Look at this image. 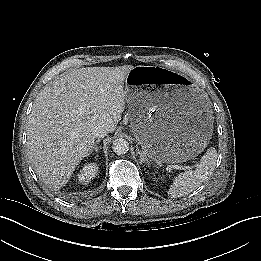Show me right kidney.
Returning <instances> with one entry per match:
<instances>
[{
  "label": "right kidney",
  "instance_id": "right-kidney-1",
  "mask_svg": "<svg viewBox=\"0 0 261 261\" xmlns=\"http://www.w3.org/2000/svg\"><path fill=\"white\" fill-rule=\"evenodd\" d=\"M98 165L96 163L86 164L78 173V181L80 183H88L98 173Z\"/></svg>",
  "mask_w": 261,
  "mask_h": 261
}]
</instances>
